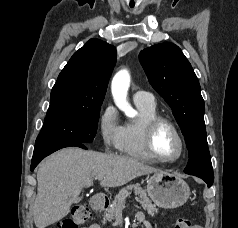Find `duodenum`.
Returning a JSON list of instances; mask_svg holds the SVG:
<instances>
[{
	"label": "duodenum",
	"mask_w": 238,
	"mask_h": 228,
	"mask_svg": "<svg viewBox=\"0 0 238 228\" xmlns=\"http://www.w3.org/2000/svg\"><path fill=\"white\" fill-rule=\"evenodd\" d=\"M109 203V200L107 197L103 195H96L92 197L89 201V207L91 210L99 212L104 210Z\"/></svg>",
	"instance_id": "duodenum-1"
}]
</instances>
